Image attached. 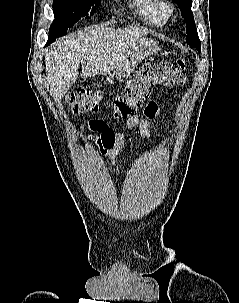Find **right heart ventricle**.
Here are the masks:
<instances>
[{"mask_svg": "<svg viewBox=\"0 0 239 303\" xmlns=\"http://www.w3.org/2000/svg\"><path fill=\"white\" fill-rule=\"evenodd\" d=\"M139 17L147 24L162 27L170 17L171 6L166 0H130Z\"/></svg>", "mask_w": 239, "mask_h": 303, "instance_id": "e07e8e85", "label": "right heart ventricle"}]
</instances>
